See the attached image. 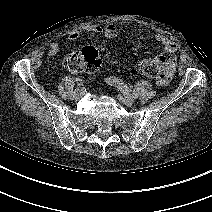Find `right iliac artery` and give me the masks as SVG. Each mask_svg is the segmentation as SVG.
<instances>
[{"label":"right iliac artery","mask_w":212,"mask_h":212,"mask_svg":"<svg viewBox=\"0 0 212 212\" xmlns=\"http://www.w3.org/2000/svg\"><path fill=\"white\" fill-rule=\"evenodd\" d=\"M76 81H77V86H78V87L75 88V90H74L73 92L70 93L69 98H70L71 100L74 99V97H75V95H76V92L79 91V86H82V85H83V80L77 79Z\"/></svg>","instance_id":"1"}]
</instances>
